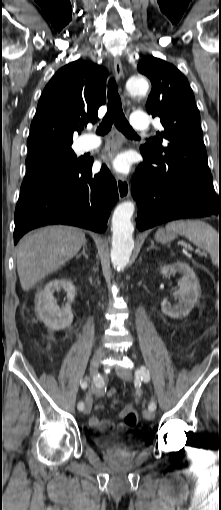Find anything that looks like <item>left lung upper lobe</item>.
I'll return each mask as SVG.
<instances>
[{
    "instance_id": "left-lung-upper-lobe-1",
    "label": "left lung upper lobe",
    "mask_w": 221,
    "mask_h": 510,
    "mask_svg": "<svg viewBox=\"0 0 221 510\" xmlns=\"http://www.w3.org/2000/svg\"><path fill=\"white\" fill-rule=\"evenodd\" d=\"M138 71L152 83L146 110L164 130L140 147L155 175L165 182L192 179L212 183L200 127V113L186 77L172 64L150 56Z\"/></svg>"
}]
</instances>
